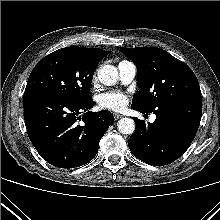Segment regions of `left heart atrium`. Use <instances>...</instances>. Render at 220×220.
<instances>
[{
    "mask_svg": "<svg viewBox=\"0 0 220 220\" xmlns=\"http://www.w3.org/2000/svg\"><path fill=\"white\" fill-rule=\"evenodd\" d=\"M126 102V96L120 92H107L99 96V105L110 110H121Z\"/></svg>",
    "mask_w": 220,
    "mask_h": 220,
    "instance_id": "obj_1",
    "label": "left heart atrium"
}]
</instances>
